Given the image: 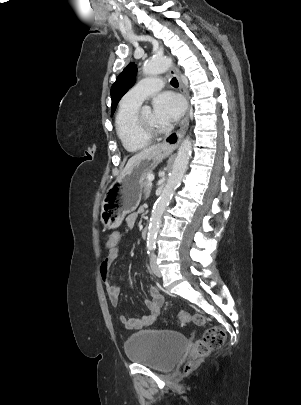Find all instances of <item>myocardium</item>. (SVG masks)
<instances>
[{"instance_id": "obj_1", "label": "myocardium", "mask_w": 301, "mask_h": 405, "mask_svg": "<svg viewBox=\"0 0 301 405\" xmlns=\"http://www.w3.org/2000/svg\"><path fill=\"white\" fill-rule=\"evenodd\" d=\"M135 131L142 137L154 139L163 135L166 132L165 128L155 129L146 126L142 120V112L138 111L134 119Z\"/></svg>"}]
</instances>
